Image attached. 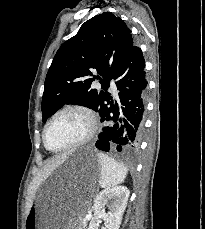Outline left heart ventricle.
Here are the masks:
<instances>
[{"label": "left heart ventricle", "mask_w": 205, "mask_h": 229, "mask_svg": "<svg viewBox=\"0 0 205 229\" xmlns=\"http://www.w3.org/2000/svg\"><path fill=\"white\" fill-rule=\"evenodd\" d=\"M88 130L87 119L78 112L60 115L49 127L47 143L53 149L67 146L81 139Z\"/></svg>", "instance_id": "obj_1"}]
</instances>
